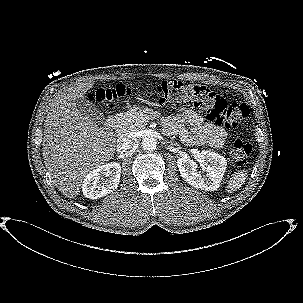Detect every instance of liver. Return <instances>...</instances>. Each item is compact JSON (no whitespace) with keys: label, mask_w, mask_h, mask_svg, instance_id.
I'll return each instance as SVG.
<instances>
[{"label":"liver","mask_w":303,"mask_h":303,"mask_svg":"<svg viewBox=\"0 0 303 303\" xmlns=\"http://www.w3.org/2000/svg\"><path fill=\"white\" fill-rule=\"evenodd\" d=\"M93 85L90 80L59 93L45 120L44 163L59 191L70 199L79 195L92 169L112 158L116 147L114 132L82 115L76 107V100Z\"/></svg>","instance_id":"6515ba94"}]
</instances>
